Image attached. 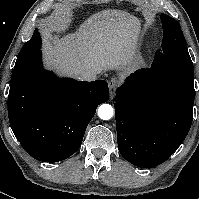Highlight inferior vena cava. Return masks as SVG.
<instances>
[{
    "label": "inferior vena cava",
    "instance_id": "obj_1",
    "mask_svg": "<svg viewBox=\"0 0 199 199\" xmlns=\"http://www.w3.org/2000/svg\"><path fill=\"white\" fill-rule=\"evenodd\" d=\"M100 68H89L80 71L79 78L84 81H93L96 80L97 74L101 73Z\"/></svg>",
    "mask_w": 199,
    "mask_h": 199
}]
</instances>
